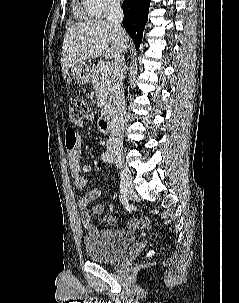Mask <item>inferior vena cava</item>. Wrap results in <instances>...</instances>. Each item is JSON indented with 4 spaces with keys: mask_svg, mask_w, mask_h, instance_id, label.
Listing matches in <instances>:
<instances>
[{
    "mask_svg": "<svg viewBox=\"0 0 239 303\" xmlns=\"http://www.w3.org/2000/svg\"><path fill=\"white\" fill-rule=\"evenodd\" d=\"M123 20V11L120 5V0H111L107 22L111 23L120 40L125 35L121 22ZM124 50L120 44L114 56V65L112 69V123L111 133L108 140V148L110 150H121L123 146V131L126 122V104L123 91L124 77Z\"/></svg>",
    "mask_w": 239,
    "mask_h": 303,
    "instance_id": "obj_1",
    "label": "inferior vena cava"
}]
</instances>
